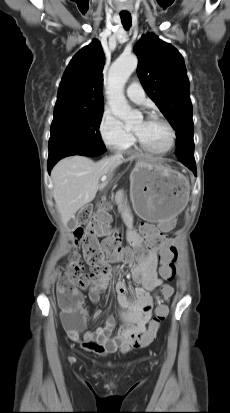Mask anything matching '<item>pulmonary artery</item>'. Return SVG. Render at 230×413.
<instances>
[{
    "instance_id": "1",
    "label": "pulmonary artery",
    "mask_w": 230,
    "mask_h": 413,
    "mask_svg": "<svg viewBox=\"0 0 230 413\" xmlns=\"http://www.w3.org/2000/svg\"><path fill=\"white\" fill-rule=\"evenodd\" d=\"M126 94L130 100L142 103L145 99V92L137 80L132 81L126 89Z\"/></svg>"
}]
</instances>
